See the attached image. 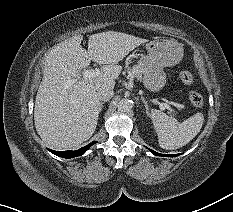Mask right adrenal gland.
I'll return each instance as SVG.
<instances>
[{
    "instance_id": "right-adrenal-gland-1",
    "label": "right adrenal gland",
    "mask_w": 233,
    "mask_h": 212,
    "mask_svg": "<svg viewBox=\"0 0 233 212\" xmlns=\"http://www.w3.org/2000/svg\"><path fill=\"white\" fill-rule=\"evenodd\" d=\"M103 104H104V102L101 103L102 107H103Z\"/></svg>"
}]
</instances>
